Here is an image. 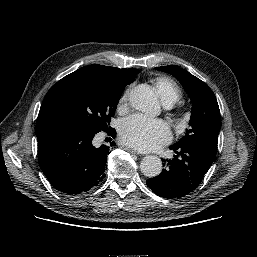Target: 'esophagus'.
Here are the masks:
<instances>
[{
	"label": "esophagus",
	"instance_id": "1",
	"mask_svg": "<svg viewBox=\"0 0 257 257\" xmlns=\"http://www.w3.org/2000/svg\"><path fill=\"white\" fill-rule=\"evenodd\" d=\"M125 150L132 153V154H136V155L139 154L137 151H135L134 149H131V148H125Z\"/></svg>",
	"mask_w": 257,
	"mask_h": 257
}]
</instances>
